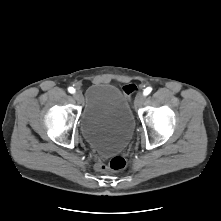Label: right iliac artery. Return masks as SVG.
Returning a JSON list of instances; mask_svg holds the SVG:
<instances>
[{"mask_svg":"<svg viewBox=\"0 0 221 221\" xmlns=\"http://www.w3.org/2000/svg\"><path fill=\"white\" fill-rule=\"evenodd\" d=\"M68 91L73 94L75 92V89L73 87H69Z\"/></svg>","mask_w":221,"mask_h":221,"instance_id":"obj_1","label":"right iliac artery"}]
</instances>
